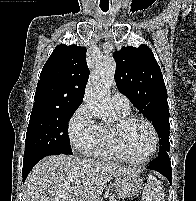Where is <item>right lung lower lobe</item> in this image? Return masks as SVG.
<instances>
[{
  "instance_id": "right-lung-lower-lobe-1",
  "label": "right lung lower lobe",
  "mask_w": 196,
  "mask_h": 201,
  "mask_svg": "<svg viewBox=\"0 0 196 201\" xmlns=\"http://www.w3.org/2000/svg\"><path fill=\"white\" fill-rule=\"evenodd\" d=\"M57 154H63L59 151L56 150H44V151H39V152H35L32 153L26 157H24V161H23V171H22V175H23V182L25 181L27 175L29 174V172L31 171V169L33 168V166L40 161L42 158L49 156V155H57Z\"/></svg>"
}]
</instances>
